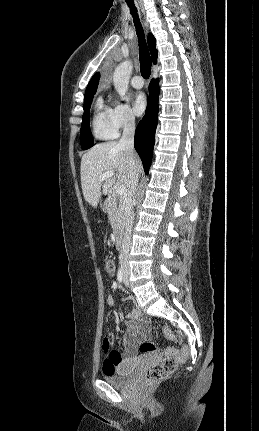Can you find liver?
Here are the masks:
<instances>
[{
  "mask_svg": "<svg viewBox=\"0 0 259 431\" xmlns=\"http://www.w3.org/2000/svg\"><path fill=\"white\" fill-rule=\"evenodd\" d=\"M113 171L114 176L100 181L99 177ZM140 174L142 164L136 154L134 163L130 164L127 153L117 142H106L95 145L81 159V185L83 196L94 208L97 207L101 195H107L116 182L130 190L133 172Z\"/></svg>",
  "mask_w": 259,
  "mask_h": 431,
  "instance_id": "liver-1",
  "label": "liver"
}]
</instances>
